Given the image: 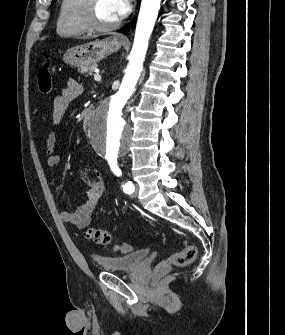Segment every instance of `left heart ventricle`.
<instances>
[{"instance_id":"1","label":"left heart ventricle","mask_w":285,"mask_h":335,"mask_svg":"<svg viewBox=\"0 0 285 335\" xmlns=\"http://www.w3.org/2000/svg\"><path fill=\"white\" fill-rule=\"evenodd\" d=\"M96 21L100 25H111L116 22L113 1H96Z\"/></svg>"}]
</instances>
